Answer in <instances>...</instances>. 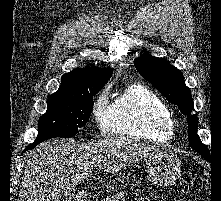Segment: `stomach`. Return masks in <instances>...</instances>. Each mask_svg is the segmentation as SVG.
Here are the masks:
<instances>
[{"label": "stomach", "instance_id": "1", "mask_svg": "<svg viewBox=\"0 0 221 201\" xmlns=\"http://www.w3.org/2000/svg\"><path fill=\"white\" fill-rule=\"evenodd\" d=\"M146 172L155 184L171 186L181 175V162L172 151L159 152L147 157Z\"/></svg>", "mask_w": 221, "mask_h": 201}]
</instances>
